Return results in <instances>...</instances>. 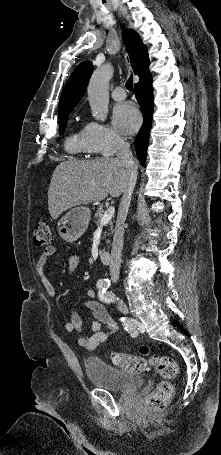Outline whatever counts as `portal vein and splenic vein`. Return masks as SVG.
Returning a JSON list of instances; mask_svg holds the SVG:
<instances>
[{
  "label": "portal vein and splenic vein",
  "instance_id": "18ae733b",
  "mask_svg": "<svg viewBox=\"0 0 221 455\" xmlns=\"http://www.w3.org/2000/svg\"><path fill=\"white\" fill-rule=\"evenodd\" d=\"M114 213H115V208L113 206L109 207L106 210V212L103 214L100 225L103 226L105 224H108L110 222V220L112 219Z\"/></svg>",
  "mask_w": 221,
  "mask_h": 455
}]
</instances>
